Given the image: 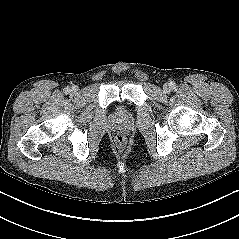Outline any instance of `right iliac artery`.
Here are the masks:
<instances>
[{
	"label": "right iliac artery",
	"instance_id": "1",
	"mask_svg": "<svg viewBox=\"0 0 239 239\" xmlns=\"http://www.w3.org/2000/svg\"><path fill=\"white\" fill-rule=\"evenodd\" d=\"M70 91H71V90H70V88H68V87H67V88H65V90H64L65 94H69V93H70Z\"/></svg>",
	"mask_w": 239,
	"mask_h": 239
}]
</instances>
